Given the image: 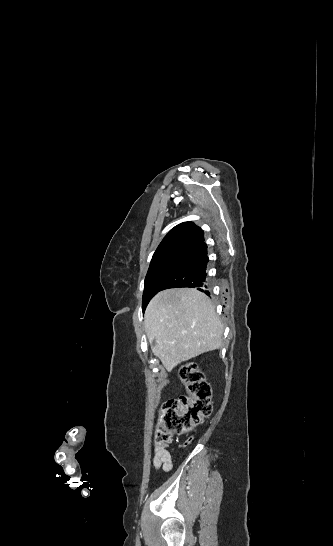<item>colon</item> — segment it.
I'll return each instance as SVG.
<instances>
[{"label":"colon","mask_w":333,"mask_h":546,"mask_svg":"<svg viewBox=\"0 0 333 546\" xmlns=\"http://www.w3.org/2000/svg\"><path fill=\"white\" fill-rule=\"evenodd\" d=\"M186 396L167 400L161 408L155 443L167 447L173 434H185L202 424L212 412L211 388L202 371L191 362L178 368Z\"/></svg>","instance_id":"colon-1"}]
</instances>
